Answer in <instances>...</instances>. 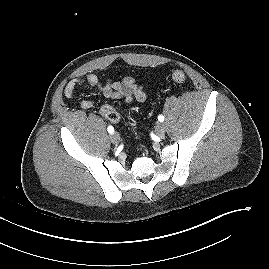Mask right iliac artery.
Wrapping results in <instances>:
<instances>
[{
	"label": "right iliac artery",
	"instance_id": "82829eb1",
	"mask_svg": "<svg viewBox=\"0 0 269 269\" xmlns=\"http://www.w3.org/2000/svg\"><path fill=\"white\" fill-rule=\"evenodd\" d=\"M108 132L112 134L114 132V128L112 126H108Z\"/></svg>",
	"mask_w": 269,
	"mask_h": 269
}]
</instances>
